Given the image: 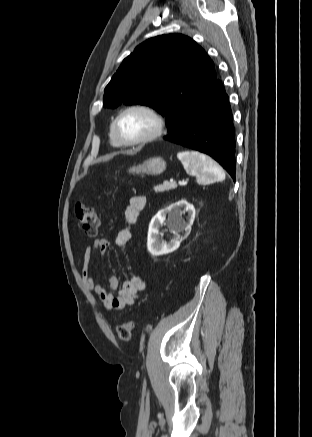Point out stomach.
<instances>
[{
    "mask_svg": "<svg viewBox=\"0 0 312 437\" xmlns=\"http://www.w3.org/2000/svg\"><path fill=\"white\" fill-rule=\"evenodd\" d=\"M166 169V162L161 157L150 158L144 161L142 164L133 166L129 169L131 174H148L158 175L164 172Z\"/></svg>",
    "mask_w": 312,
    "mask_h": 437,
    "instance_id": "stomach-1",
    "label": "stomach"
}]
</instances>
